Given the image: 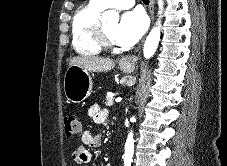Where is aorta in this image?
Segmentation results:
<instances>
[{
  "label": "aorta",
  "mask_w": 227,
  "mask_h": 166,
  "mask_svg": "<svg viewBox=\"0 0 227 166\" xmlns=\"http://www.w3.org/2000/svg\"><path fill=\"white\" fill-rule=\"evenodd\" d=\"M159 5V14L162 13L163 10V0H158ZM103 20H111V21H118L119 15L117 12L113 10L105 11L102 15ZM160 20L156 23V26L150 31L148 37L146 38V41L144 43L143 48V54L146 59L151 58L154 53L156 52V49L158 47L159 41H160ZM135 118L132 117V120ZM134 153V139H133V133L132 131L129 133L128 138L126 140L125 144V155H124V163L125 166H130L133 158Z\"/></svg>",
  "instance_id": "762f6f07"
}]
</instances>
